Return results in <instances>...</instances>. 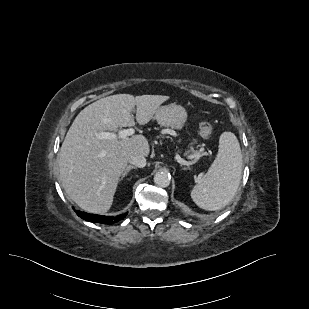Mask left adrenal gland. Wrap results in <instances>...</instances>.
Listing matches in <instances>:
<instances>
[{
  "label": "left adrenal gland",
  "instance_id": "obj_1",
  "mask_svg": "<svg viewBox=\"0 0 309 309\" xmlns=\"http://www.w3.org/2000/svg\"><path fill=\"white\" fill-rule=\"evenodd\" d=\"M182 169H183V170H187V169H189V168H185V167H184V168H182Z\"/></svg>",
  "mask_w": 309,
  "mask_h": 309
}]
</instances>
